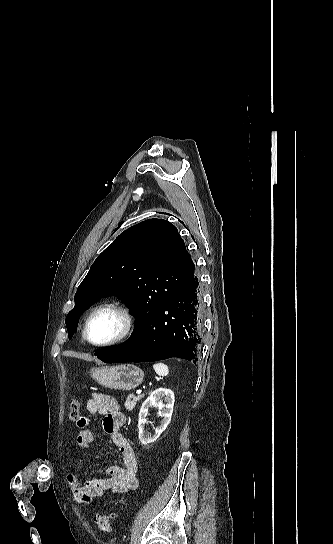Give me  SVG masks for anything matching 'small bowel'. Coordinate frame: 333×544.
Returning <instances> with one entry per match:
<instances>
[{
	"label": "small bowel",
	"instance_id": "obj_1",
	"mask_svg": "<svg viewBox=\"0 0 333 544\" xmlns=\"http://www.w3.org/2000/svg\"><path fill=\"white\" fill-rule=\"evenodd\" d=\"M86 408L91 415L104 416L103 429L118 447L122 460L119 465L107 466L104 469L105 477L93 478L84 483H80L75 474L67 475L70 490L75 501L79 504H89L93 499L101 497L107 492L123 493L136 489L139 485L136 455L121 431L126 417L120 411L116 400L110 395L95 393L87 401ZM76 423L79 428L77 444L81 448L89 449L95 441V434L89 427V420L86 417H80Z\"/></svg>",
	"mask_w": 333,
	"mask_h": 544
}]
</instances>
